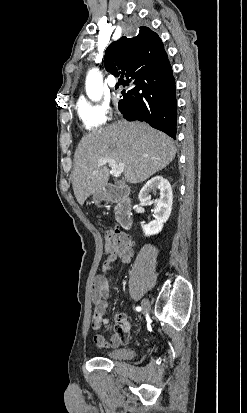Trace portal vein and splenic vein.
I'll list each match as a JSON object with an SVG mask.
<instances>
[{
	"instance_id": "18ae733b",
	"label": "portal vein and splenic vein",
	"mask_w": 247,
	"mask_h": 413,
	"mask_svg": "<svg viewBox=\"0 0 247 413\" xmlns=\"http://www.w3.org/2000/svg\"><path fill=\"white\" fill-rule=\"evenodd\" d=\"M110 164L114 176H120L124 170L125 162H116L114 158H98V166Z\"/></svg>"
}]
</instances>
